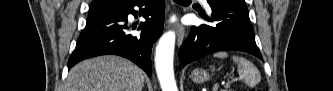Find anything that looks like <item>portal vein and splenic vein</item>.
Instances as JSON below:
<instances>
[{
	"label": "portal vein and splenic vein",
	"instance_id": "portal-vein-and-splenic-vein-1",
	"mask_svg": "<svg viewBox=\"0 0 333 91\" xmlns=\"http://www.w3.org/2000/svg\"><path fill=\"white\" fill-rule=\"evenodd\" d=\"M230 85L229 84H225V88H228Z\"/></svg>",
	"mask_w": 333,
	"mask_h": 91
}]
</instances>
